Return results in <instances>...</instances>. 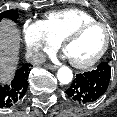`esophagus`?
<instances>
[{"instance_id":"obj_1","label":"esophagus","mask_w":117,"mask_h":117,"mask_svg":"<svg viewBox=\"0 0 117 117\" xmlns=\"http://www.w3.org/2000/svg\"><path fill=\"white\" fill-rule=\"evenodd\" d=\"M45 67L49 70H56L58 68L57 65L46 64Z\"/></svg>"}]
</instances>
